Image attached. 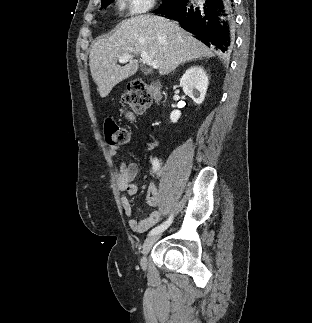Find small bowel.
I'll return each mask as SVG.
<instances>
[{
	"instance_id": "1",
	"label": "small bowel",
	"mask_w": 312,
	"mask_h": 323,
	"mask_svg": "<svg viewBox=\"0 0 312 323\" xmlns=\"http://www.w3.org/2000/svg\"><path fill=\"white\" fill-rule=\"evenodd\" d=\"M116 154V148H111L110 155L116 156ZM137 173L138 166L136 163H122L116 176V183L118 189L124 193L121 198V205L124 213L128 217L130 228L136 232H145L157 225L162 220L163 214L160 210H155L144 220H139L135 217L129 198L138 194V187L135 184ZM146 199L148 205L152 207L159 205L157 186L154 183L148 185Z\"/></svg>"
}]
</instances>
